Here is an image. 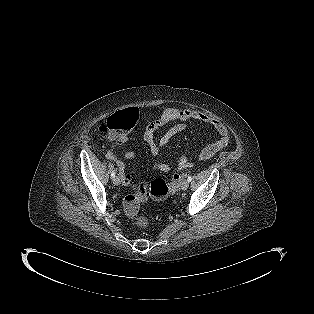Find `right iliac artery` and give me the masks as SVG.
Listing matches in <instances>:
<instances>
[{
    "mask_svg": "<svg viewBox=\"0 0 314 314\" xmlns=\"http://www.w3.org/2000/svg\"><path fill=\"white\" fill-rule=\"evenodd\" d=\"M115 174H116L115 170L112 171V173H111V178H114V177H115Z\"/></svg>",
    "mask_w": 314,
    "mask_h": 314,
    "instance_id": "obj_1",
    "label": "right iliac artery"
}]
</instances>
